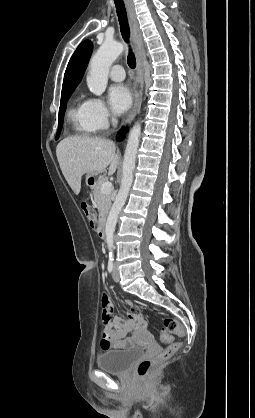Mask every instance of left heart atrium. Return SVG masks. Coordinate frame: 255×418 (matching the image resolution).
Masks as SVG:
<instances>
[{"label":"left heart atrium","instance_id":"left-heart-atrium-1","mask_svg":"<svg viewBox=\"0 0 255 418\" xmlns=\"http://www.w3.org/2000/svg\"><path fill=\"white\" fill-rule=\"evenodd\" d=\"M108 98L111 108L117 114L126 112L132 103L129 89L121 84L113 85L109 89Z\"/></svg>","mask_w":255,"mask_h":418}]
</instances>
